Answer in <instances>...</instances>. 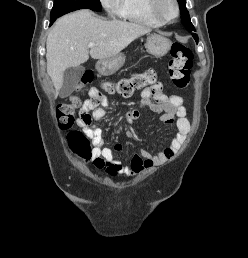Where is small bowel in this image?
Instances as JSON below:
<instances>
[{
    "label": "small bowel",
    "instance_id": "c3829d8e",
    "mask_svg": "<svg viewBox=\"0 0 248 258\" xmlns=\"http://www.w3.org/2000/svg\"><path fill=\"white\" fill-rule=\"evenodd\" d=\"M88 95L89 98L83 101L80 106L76 125L83 129L95 144L93 154L95 165L99 168H105L107 171H113L114 175L122 174L131 177L154 166L162 165L174 158L186 140L190 124L186 118L182 98L179 95L166 97L157 94L155 101H152V91L144 89L140 94V106L149 107L152 111L160 113L159 119L163 124L175 123L177 131L171 144L158 154L153 155L149 151L141 149L138 154L132 157L129 165H124L115 158L111 150L102 148V130L92 125L93 120H100L106 115L105 108L109 105L108 98L96 87L90 88ZM139 116V110L133 109L128 113L127 119L133 122ZM115 150H121V145L117 144Z\"/></svg>",
    "mask_w": 248,
    "mask_h": 258
}]
</instances>
